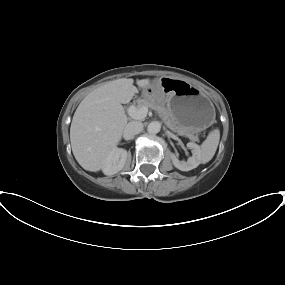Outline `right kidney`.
I'll use <instances>...</instances> for the list:
<instances>
[{
  "mask_svg": "<svg viewBox=\"0 0 285 285\" xmlns=\"http://www.w3.org/2000/svg\"><path fill=\"white\" fill-rule=\"evenodd\" d=\"M127 151L122 148H114L107 157L102 171L105 175L111 176L121 171L127 160Z\"/></svg>",
  "mask_w": 285,
  "mask_h": 285,
  "instance_id": "right-kidney-1",
  "label": "right kidney"
}]
</instances>
